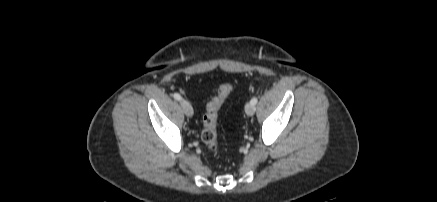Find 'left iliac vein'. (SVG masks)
<instances>
[{
	"label": "left iliac vein",
	"mask_w": 437,
	"mask_h": 202,
	"mask_svg": "<svg viewBox=\"0 0 437 202\" xmlns=\"http://www.w3.org/2000/svg\"><path fill=\"white\" fill-rule=\"evenodd\" d=\"M256 107L255 105L248 103L245 106V112L248 116H252L255 113Z\"/></svg>",
	"instance_id": "obj_1"
}]
</instances>
